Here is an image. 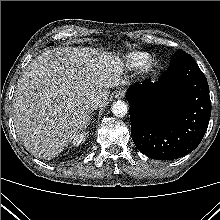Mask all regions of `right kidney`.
Returning <instances> with one entry per match:
<instances>
[{"label":"right kidney","instance_id":"1","mask_svg":"<svg viewBox=\"0 0 220 220\" xmlns=\"http://www.w3.org/2000/svg\"><path fill=\"white\" fill-rule=\"evenodd\" d=\"M86 138V133H79L77 135L74 136L73 140H72V144L74 146H79L81 143H83L85 141Z\"/></svg>","mask_w":220,"mask_h":220}]
</instances>
